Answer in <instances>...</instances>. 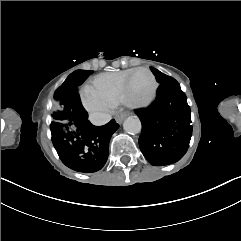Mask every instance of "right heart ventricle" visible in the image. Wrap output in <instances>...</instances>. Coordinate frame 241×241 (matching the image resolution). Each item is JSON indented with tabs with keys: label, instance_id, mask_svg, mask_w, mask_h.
I'll list each match as a JSON object with an SVG mask.
<instances>
[{
	"label": "right heart ventricle",
	"instance_id": "e07e8e85",
	"mask_svg": "<svg viewBox=\"0 0 241 241\" xmlns=\"http://www.w3.org/2000/svg\"><path fill=\"white\" fill-rule=\"evenodd\" d=\"M134 70H125L109 73H101L95 76L86 86L84 91L87 95H99L113 106L120 104L119 98L124 87L125 80ZM126 102V101H125Z\"/></svg>",
	"mask_w": 241,
	"mask_h": 241
}]
</instances>
